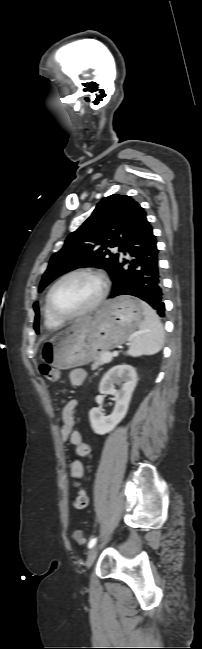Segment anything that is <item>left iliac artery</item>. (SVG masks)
Here are the masks:
<instances>
[{
	"mask_svg": "<svg viewBox=\"0 0 202 649\" xmlns=\"http://www.w3.org/2000/svg\"><path fill=\"white\" fill-rule=\"evenodd\" d=\"M96 542H97V538L96 537L92 538L88 543V548H92L96 544Z\"/></svg>",
	"mask_w": 202,
	"mask_h": 649,
	"instance_id": "44dca946",
	"label": "left iliac artery"
}]
</instances>
